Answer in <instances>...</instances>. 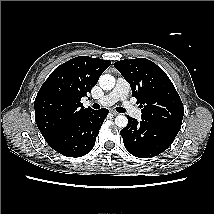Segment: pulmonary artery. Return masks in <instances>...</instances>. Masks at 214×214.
Segmentation results:
<instances>
[{
	"label": "pulmonary artery",
	"mask_w": 214,
	"mask_h": 214,
	"mask_svg": "<svg viewBox=\"0 0 214 214\" xmlns=\"http://www.w3.org/2000/svg\"><path fill=\"white\" fill-rule=\"evenodd\" d=\"M128 93L129 84L124 78L119 77L116 81L114 89L109 94L97 99V103L102 106H111L120 100L129 115L136 119H140L142 112L132 102L127 100Z\"/></svg>",
	"instance_id": "1"
}]
</instances>
